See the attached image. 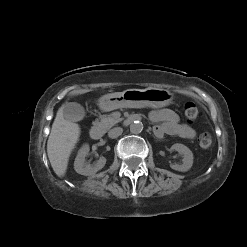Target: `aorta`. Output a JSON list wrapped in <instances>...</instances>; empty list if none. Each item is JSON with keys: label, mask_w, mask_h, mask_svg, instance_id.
<instances>
[{"label": "aorta", "mask_w": 247, "mask_h": 247, "mask_svg": "<svg viewBox=\"0 0 247 247\" xmlns=\"http://www.w3.org/2000/svg\"><path fill=\"white\" fill-rule=\"evenodd\" d=\"M143 130V124L140 121H134L130 125V132L132 134H139Z\"/></svg>", "instance_id": "aorta-1"}]
</instances>
